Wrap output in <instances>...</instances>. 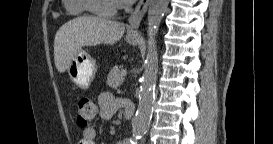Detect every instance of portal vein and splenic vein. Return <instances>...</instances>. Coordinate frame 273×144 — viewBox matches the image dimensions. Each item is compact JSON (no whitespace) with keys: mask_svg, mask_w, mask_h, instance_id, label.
Returning a JSON list of instances; mask_svg holds the SVG:
<instances>
[{"mask_svg":"<svg viewBox=\"0 0 273 144\" xmlns=\"http://www.w3.org/2000/svg\"><path fill=\"white\" fill-rule=\"evenodd\" d=\"M121 75L122 77H125L127 75V71L126 70L122 71Z\"/></svg>","mask_w":273,"mask_h":144,"instance_id":"18ae733b","label":"portal vein and splenic vein"}]
</instances>
